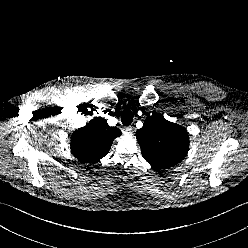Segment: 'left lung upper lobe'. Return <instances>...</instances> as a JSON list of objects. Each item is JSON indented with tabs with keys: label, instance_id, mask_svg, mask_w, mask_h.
I'll return each instance as SVG.
<instances>
[{
	"label": "left lung upper lobe",
	"instance_id": "1",
	"mask_svg": "<svg viewBox=\"0 0 248 248\" xmlns=\"http://www.w3.org/2000/svg\"><path fill=\"white\" fill-rule=\"evenodd\" d=\"M136 137L142 156L155 170L175 166L189 149L188 132L158 113L145 119L143 127L136 131Z\"/></svg>",
	"mask_w": 248,
	"mask_h": 248
}]
</instances>
